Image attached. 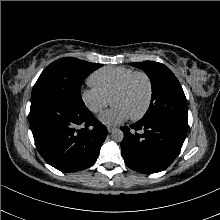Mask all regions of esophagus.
<instances>
[{"mask_svg":"<svg viewBox=\"0 0 220 220\" xmlns=\"http://www.w3.org/2000/svg\"><path fill=\"white\" fill-rule=\"evenodd\" d=\"M116 129H117L116 127H112V126L107 127V130H108L109 133L113 132Z\"/></svg>","mask_w":220,"mask_h":220,"instance_id":"34e87169","label":"esophagus"}]
</instances>
